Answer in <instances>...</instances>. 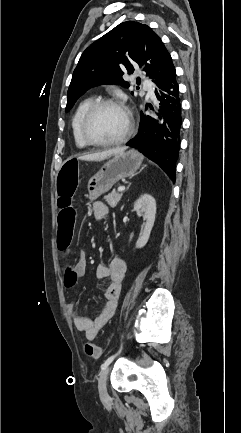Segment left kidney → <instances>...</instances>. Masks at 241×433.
I'll return each instance as SVG.
<instances>
[{
    "mask_svg": "<svg viewBox=\"0 0 241 433\" xmlns=\"http://www.w3.org/2000/svg\"><path fill=\"white\" fill-rule=\"evenodd\" d=\"M134 210L145 220L144 229L136 242V248H142L147 244L155 222L156 201L151 195L144 194L135 202Z\"/></svg>",
    "mask_w": 241,
    "mask_h": 433,
    "instance_id": "left-kidney-1",
    "label": "left kidney"
}]
</instances>
